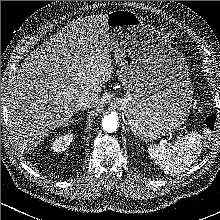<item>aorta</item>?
I'll list each match as a JSON object with an SVG mask.
<instances>
[{
  "mask_svg": "<svg viewBox=\"0 0 220 220\" xmlns=\"http://www.w3.org/2000/svg\"><path fill=\"white\" fill-rule=\"evenodd\" d=\"M118 125V116L116 113H110L102 119L103 130L108 133L116 132Z\"/></svg>",
  "mask_w": 220,
  "mask_h": 220,
  "instance_id": "aorta-1",
  "label": "aorta"
}]
</instances>
